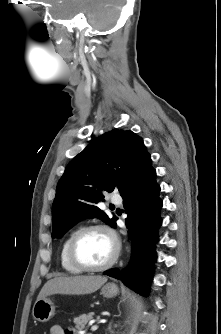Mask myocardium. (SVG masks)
I'll return each mask as SVG.
<instances>
[{
	"label": "myocardium",
	"instance_id": "f54148a6",
	"mask_svg": "<svg viewBox=\"0 0 221 334\" xmlns=\"http://www.w3.org/2000/svg\"><path fill=\"white\" fill-rule=\"evenodd\" d=\"M92 230H103L107 232L112 238L113 244H114V251L110 259L106 263L102 265H98V266H90V265L83 263L78 258L77 253H76V246H77L79 239L85 233L92 231ZM119 253H120V241H119L117 234L110 226L106 224H102V223L89 224V225L83 226L80 229H78L74 233L69 243V247H68V256H69L70 262L77 268L81 269L82 271H89V272H99V271H104V270L109 269L118 259Z\"/></svg>",
	"mask_w": 221,
	"mask_h": 334
}]
</instances>
